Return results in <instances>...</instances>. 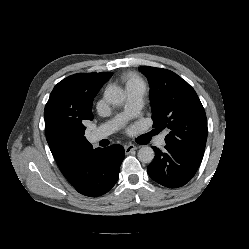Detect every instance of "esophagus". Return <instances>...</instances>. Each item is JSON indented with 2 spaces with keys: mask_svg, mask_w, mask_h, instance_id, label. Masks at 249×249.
I'll use <instances>...</instances> for the list:
<instances>
[{
  "mask_svg": "<svg viewBox=\"0 0 249 249\" xmlns=\"http://www.w3.org/2000/svg\"><path fill=\"white\" fill-rule=\"evenodd\" d=\"M138 148V146L134 145V144H128L125 146V153L129 154L130 152H132L133 150H136Z\"/></svg>",
  "mask_w": 249,
  "mask_h": 249,
  "instance_id": "obj_1",
  "label": "esophagus"
}]
</instances>
